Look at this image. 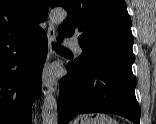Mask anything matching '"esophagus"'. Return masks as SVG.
I'll return each mask as SVG.
<instances>
[{"label":"esophagus","instance_id":"obj_1","mask_svg":"<svg viewBox=\"0 0 156 124\" xmlns=\"http://www.w3.org/2000/svg\"><path fill=\"white\" fill-rule=\"evenodd\" d=\"M47 38H48V55H47V61L45 63V67H44V71H43V80H42V92L44 95H47L52 92V86H51L49 80L47 79L46 73H45L48 63H49V60L53 53L51 43L55 39V27L51 22H49V26H48V30H47Z\"/></svg>","mask_w":156,"mask_h":124}]
</instances>
